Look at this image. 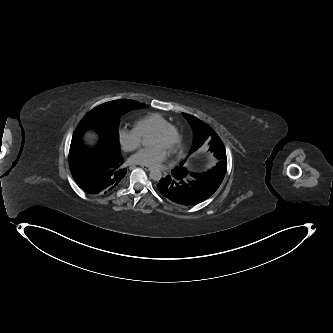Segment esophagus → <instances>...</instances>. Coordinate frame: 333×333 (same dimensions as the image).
<instances>
[{
	"mask_svg": "<svg viewBox=\"0 0 333 333\" xmlns=\"http://www.w3.org/2000/svg\"><path fill=\"white\" fill-rule=\"evenodd\" d=\"M142 168L146 171H151L153 168L147 165H142Z\"/></svg>",
	"mask_w": 333,
	"mask_h": 333,
	"instance_id": "1",
	"label": "esophagus"
}]
</instances>
